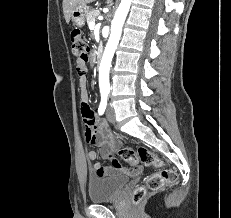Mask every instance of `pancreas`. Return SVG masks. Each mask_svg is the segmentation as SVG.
<instances>
[{"label":"pancreas","instance_id":"obj_1","mask_svg":"<svg viewBox=\"0 0 231 218\" xmlns=\"http://www.w3.org/2000/svg\"><path fill=\"white\" fill-rule=\"evenodd\" d=\"M99 13L100 12H99L98 9L89 10V12L86 15L88 25H89L90 22L96 20V18L99 15Z\"/></svg>","mask_w":231,"mask_h":218}]
</instances>
